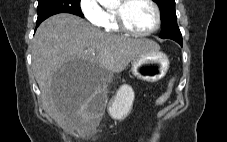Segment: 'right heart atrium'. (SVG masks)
I'll list each match as a JSON object with an SVG mask.
<instances>
[{
    "label": "right heart atrium",
    "instance_id": "d8ad5b80",
    "mask_svg": "<svg viewBox=\"0 0 227 142\" xmlns=\"http://www.w3.org/2000/svg\"><path fill=\"white\" fill-rule=\"evenodd\" d=\"M79 8L88 22L96 26L102 24L105 11L98 0H79Z\"/></svg>",
    "mask_w": 227,
    "mask_h": 142
}]
</instances>
